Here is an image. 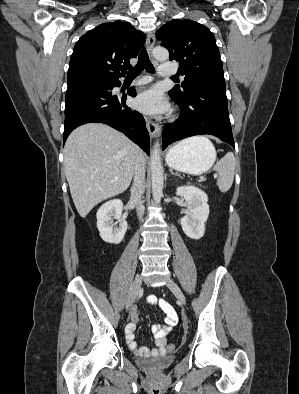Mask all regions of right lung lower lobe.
I'll return each instance as SVG.
<instances>
[{"instance_id":"1","label":"right lung lower lobe","mask_w":299,"mask_h":394,"mask_svg":"<svg viewBox=\"0 0 299 394\" xmlns=\"http://www.w3.org/2000/svg\"><path fill=\"white\" fill-rule=\"evenodd\" d=\"M118 79L97 80L68 86L63 142L76 127L90 122L105 123L123 132L149 154L150 138L143 116L126 106V96L114 95ZM128 95L136 96L134 88Z\"/></svg>"}]
</instances>
